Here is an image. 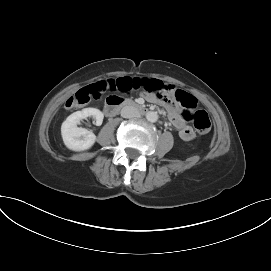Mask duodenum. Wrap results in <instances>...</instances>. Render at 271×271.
<instances>
[{"mask_svg":"<svg viewBox=\"0 0 271 271\" xmlns=\"http://www.w3.org/2000/svg\"><path fill=\"white\" fill-rule=\"evenodd\" d=\"M122 107H132L134 108L139 114H144L146 112V109L142 106L126 99L118 98V97H112L107 100L105 105V114L108 117H112L116 115L119 109Z\"/></svg>","mask_w":271,"mask_h":271,"instance_id":"duodenum-1","label":"duodenum"}]
</instances>
